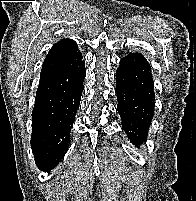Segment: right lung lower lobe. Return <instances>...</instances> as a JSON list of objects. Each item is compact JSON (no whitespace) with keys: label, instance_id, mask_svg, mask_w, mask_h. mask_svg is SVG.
Wrapping results in <instances>:
<instances>
[{"label":"right lung lower lobe","instance_id":"1","mask_svg":"<svg viewBox=\"0 0 196 201\" xmlns=\"http://www.w3.org/2000/svg\"><path fill=\"white\" fill-rule=\"evenodd\" d=\"M85 74L82 58L44 60L32 111L31 135V148L41 170L57 166L68 149Z\"/></svg>","mask_w":196,"mask_h":201}]
</instances>
